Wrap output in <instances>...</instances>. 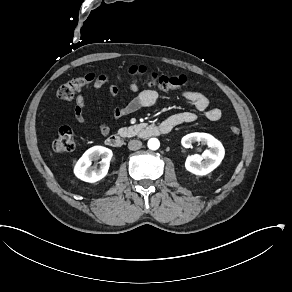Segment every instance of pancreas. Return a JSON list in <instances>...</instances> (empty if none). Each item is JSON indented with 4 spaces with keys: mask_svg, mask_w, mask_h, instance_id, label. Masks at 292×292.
<instances>
[{
    "mask_svg": "<svg viewBox=\"0 0 292 292\" xmlns=\"http://www.w3.org/2000/svg\"><path fill=\"white\" fill-rule=\"evenodd\" d=\"M141 130V127L139 125H133L128 127H123L118 130V133L122 137H132L135 136L139 131Z\"/></svg>",
    "mask_w": 292,
    "mask_h": 292,
    "instance_id": "pancreas-1",
    "label": "pancreas"
}]
</instances>
